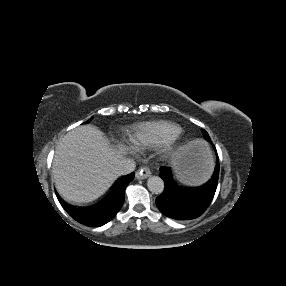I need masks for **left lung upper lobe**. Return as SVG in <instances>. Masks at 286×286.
I'll return each instance as SVG.
<instances>
[{
	"label": "left lung upper lobe",
	"instance_id": "1",
	"mask_svg": "<svg viewBox=\"0 0 286 286\" xmlns=\"http://www.w3.org/2000/svg\"><path fill=\"white\" fill-rule=\"evenodd\" d=\"M202 133H203L205 139L211 143V140H210L208 133L205 130H202Z\"/></svg>",
	"mask_w": 286,
	"mask_h": 286
}]
</instances>
